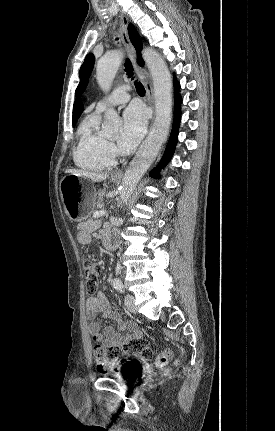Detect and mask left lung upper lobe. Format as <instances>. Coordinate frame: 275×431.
<instances>
[{"label": "left lung upper lobe", "mask_w": 275, "mask_h": 431, "mask_svg": "<svg viewBox=\"0 0 275 431\" xmlns=\"http://www.w3.org/2000/svg\"><path fill=\"white\" fill-rule=\"evenodd\" d=\"M94 61H95V58H94L93 54H88L86 56L84 63L82 64V66L80 68V72H79L80 83L76 89V94L79 92H82L84 90V88L87 86L89 76H90L91 71H92L93 66H94Z\"/></svg>", "instance_id": "5c2ea615"}]
</instances>
